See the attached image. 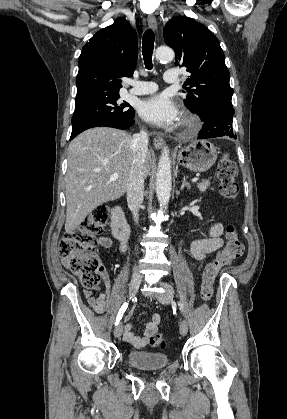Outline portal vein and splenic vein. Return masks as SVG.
<instances>
[{
    "instance_id": "portal-vein-and-splenic-vein-1",
    "label": "portal vein and splenic vein",
    "mask_w": 287,
    "mask_h": 419,
    "mask_svg": "<svg viewBox=\"0 0 287 419\" xmlns=\"http://www.w3.org/2000/svg\"><path fill=\"white\" fill-rule=\"evenodd\" d=\"M117 178H118V174H117V173H113V174L110 176V181H115ZM198 180H199L198 178H193V179H192V182H193V183H196Z\"/></svg>"
}]
</instances>
